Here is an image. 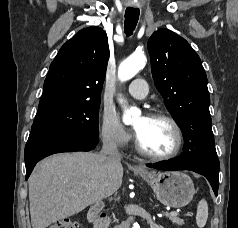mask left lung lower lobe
I'll return each mask as SVG.
<instances>
[{
	"label": "left lung lower lobe",
	"mask_w": 238,
	"mask_h": 228,
	"mask_svg": "<svg viewBox=\"0 0 238 228\" xmlns=\"http://www.w3.org/2000/svg\"><path fill=\"white\" fill-rule=\"evenodd\" d=\"M150 168L159 170H190L196 173L202 174L210 182L212 189L217 196L219 186V160L217 159H206L187 164H182L177 158L163 161L157 164L148 165Z\"/></svg>",
	"instance_id": "obj_1"
}]
</instances>
